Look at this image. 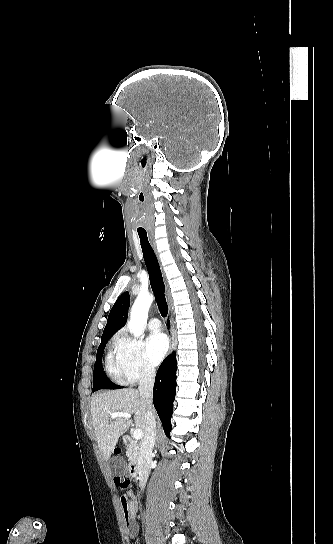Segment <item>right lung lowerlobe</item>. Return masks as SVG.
Here are the masks:
<instances>
[{
  "label": "right lung lower lobe",
  "mask_w": 333,
  "mask_h": 544,
  "mask_svg": "<svg viewBox=\"0 0 333 544\" xmlns=\"http://www.w3.org/2000/svg\"><path fill=\"white\" fill-rule=\"evenodd\" d=\"M176 354L173 352L160 365L154 384L153 402L164 432L170 436V419L173 412V401L176 394Z\"/></svg>",
  "instance_id": "right-lung-lower-lobe-1"
}]
</instances>
